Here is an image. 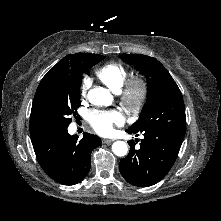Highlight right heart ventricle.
<instances>
[{
  "label": "right heart ventricle",
  "mask_w": 221,
  "mask_h": 221,
  "mask_svg": "<svg viewBox=\"0 0 221 221\" xmlns=\"http://www.w3.org/2000/svg\"><path fill=\"white\" fill-rule=\"evenodd\" d=\"M98 79L113 92L119 93L128 78V70L117 62H109L96 70Z\"/></svg>",
  "instance_id": "obj_1"
}]
</instances>
